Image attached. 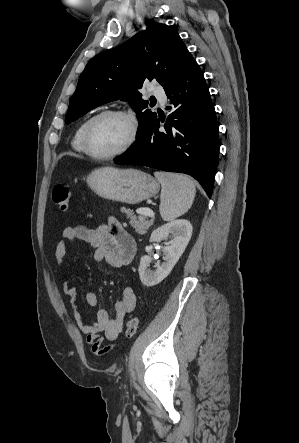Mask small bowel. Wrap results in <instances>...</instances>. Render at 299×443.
Returning <instances> with one entry per match:
<instances>
[{
    "mask_svg": "<svg viewBox=\"0 0 299 443\" xmlns=\"http://www.w3.org/2000/svg\"><path fill=\"white\" fill-rule=\"evenodd\" d=\"M63 240L55 249V260L61 265L67 253V241H84L93 249V257L98 262H106L114 268H123L131 263L136 254V243L133 237L115 218H110L106 225L92 228L88 226L66 227L62 232ZM62 291L69 297L74 320L79 329L86 334L87 343L97 355L111 351L113 343L122 331L125 317L136 307V295L131 287L123 289L120 299L115 303L114 315L105 309L98 310L96 321L86 323L79 310L76 288L68 281L62 282ZM86 303L95 307L98 305L96 293L90 291L85 295Z\"/></svg>",
    "mask_w": 299,
    "mask_h": 443,
    "instance_id": "c3829d8e",
    "label": "small bowel"
}]
</instances>
